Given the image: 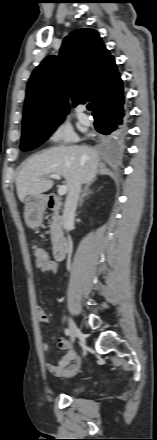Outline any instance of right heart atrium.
Segmentation results:
<instances>
[{
	"mask_svg": "<svg viewBox=\"0 0 157 440\" xmlns=\"http://www.w3.org/2000/svg\"><path fill=\"white\" fill-rule=\"evenodd\" d=\"M47 140L51 143H72L77 141V135L66 121H58L52 125Z\"/></svg>",
	"mask_w": 157,
	"mask_h": 440,
	"instance_id": "obj_1",
	"label": "right heart atrium"
}]
</instances>
